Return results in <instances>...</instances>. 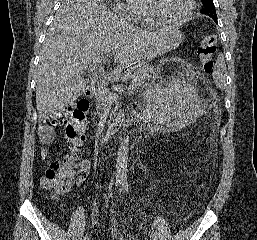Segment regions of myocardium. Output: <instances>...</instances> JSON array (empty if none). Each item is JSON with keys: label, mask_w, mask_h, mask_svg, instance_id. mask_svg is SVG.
Wrapping results in <instances>:
<instances>
[{"label": "myocardium", "mask_w": 257, "mask_h": 240, "mask_svg": "<svg viewBox=\"0 0 257 240\" xmlns=\"http://www.w3.org/2000/svg\"><path fill=\"white\" fill-rule=\"evenodd\" d=\"M189 6L186 11V13L177 19H168L163 17L156 9L155 7V0H146L147 9L150 14V16L157 21L161 25H169V26H179L185 22H187L191 16L193 15L195 8H196V2L195 0H188Z\"/></svg>", "instance_id": "1"}]
</instances>
